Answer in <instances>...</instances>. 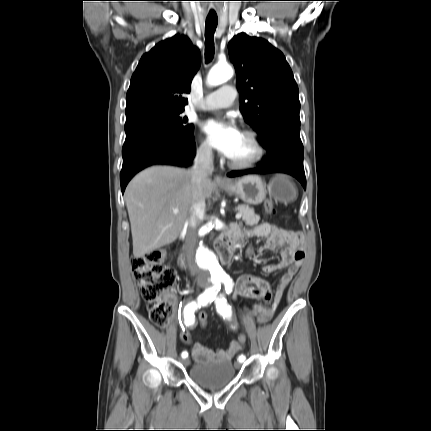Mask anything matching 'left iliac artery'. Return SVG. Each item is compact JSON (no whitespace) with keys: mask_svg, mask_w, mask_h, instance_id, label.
Listing matches in <instances>:
<instances>
[{"mask_svg":"<svg viewBox=\"0 0 431 431\" xmlns=\"http://www.w3.org/2000/svg\"><path fill=\"white\" fill-rule=\"evenodd\" d=\"M222 282L225 286V293L229 294L232 290V280L230 278L223 279ZM218 290L213 293V300H215L217 312L223 317H229L231 315V307L228 305L224 295L217 296ZM239 362L245 360V356L241 355L238 358Z\"/></svg>","mask_w":431,"mask_h":431,"instance_id":"left-iliac-artery-1","label":"left iliac artery"}]
</instances>
